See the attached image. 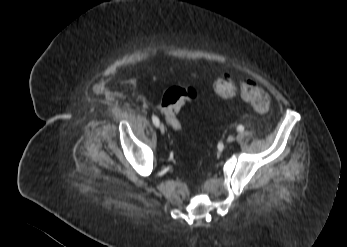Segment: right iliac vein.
Listing matches in <instances>:
<instances>
[{"label": "right iliac vein", "instance_id": "63e3f726", "mask_svg": "<svg viewBox=\"0 0 347 247\" xmlns=\"http://www.w3.org/2000/svg\"><path fill=\"white\" fill-rule=\"evenodd\" d=\"M159 130H160V132H161L162 134H164L165 131H166V128H165V126H164L163 124H160V125H159Z\"/></svg>", "mask_w": 347, "mask_h": 247}]
</instances>
